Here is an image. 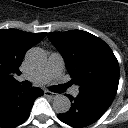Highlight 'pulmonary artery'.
<instances>
[{
    "label": "pulmonary artery",
    "mask_w": 128,
    "mask_h": 128,
    "mask_svg": "<svg viewBox=\"0 0 128 128\" xmlns=\"http://www.w3.org/2000/svg\"><path fill=\"white\" fill-rule=\"evenodd\" d=\"M64 69V61L59 53H52L49 56L46 66L42 69L32 72L28 75H22L21 79L29 80L35 84H46L54 78L61 75ZM79 90L77 87L72 88V95L76 96Z\"/></svg>",
    "instance_id": "pulmonary-artery-1"
}]
</instances>
